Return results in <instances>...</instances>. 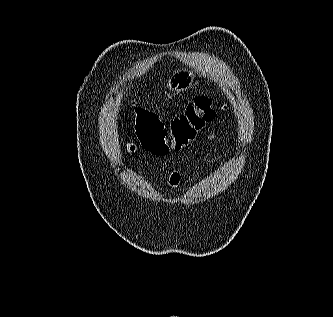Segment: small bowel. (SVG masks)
Wrapping results in <instances>:
<instances>
[{"label":"small bowel","mask_w":333,"mask_h":317,"mask_svg":"<svg viewBox=\"0 0 333 317\" xmlns=\"http://www.w3.org/2000/svg\"><path fill=\"white\" fill-rule=\"evenodd\" d=\"M219 137V131L217 129H212L205 135V141L206 142H215ZM128 150L133 151L135 150V145L130 144L128 145ZM182 181V168L177 167L174 170H172L169 174L168 178V186L170 189H176Z\"/></svg>","instance_id":"c3829d8e"}]
</instances>
